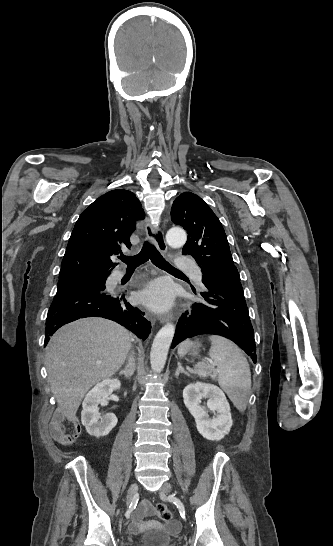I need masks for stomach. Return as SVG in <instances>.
Masks as SVG:
<instances>
[{"label":"stomach","mask_w":333,"mask_h":546,"mask_svg":"<svg viewBox=\"0 0 333 546\" xmlns=\"http://www.w3.org/2000/svg\"><path fill=\"white\" fill-rule=\"evenodd\" d=\"M199 347H200V345L198 343H192L191 352L195 354L197 352V350L199 349Z\"/></svg>","instance_id":"0dacf381"}]
</instances>
